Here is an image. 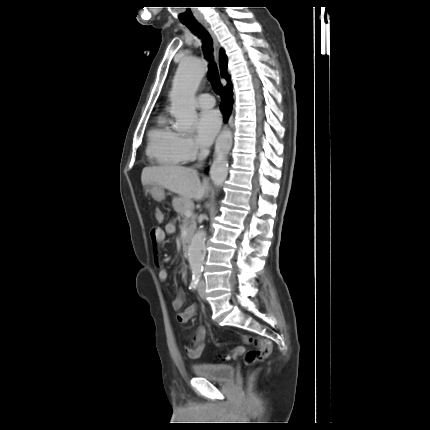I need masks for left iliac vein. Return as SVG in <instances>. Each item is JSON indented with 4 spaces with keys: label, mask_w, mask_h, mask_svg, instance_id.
<instances>
[{
    "label": "left iliac vein",
    "mask_w": 430,
    "mask_h": 430,
    "mask_svg": "<svg viewBox=\"0 0 430 430\" xmlns=\"http://www.w3.org/2000/svg\"><path fill=\"white\" fill-rule=\"evenodd\" d=\"M198 294L199 296L205 300L206 299V293H205V281L202 279L199 282V286H198Z\"/></svg>",
    "instance_id": "left-iliac-vein-1"
}]
</instances>
